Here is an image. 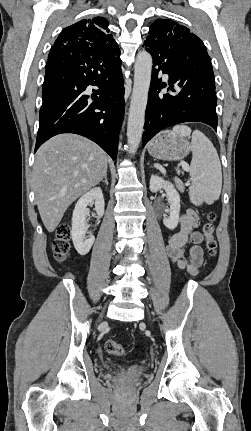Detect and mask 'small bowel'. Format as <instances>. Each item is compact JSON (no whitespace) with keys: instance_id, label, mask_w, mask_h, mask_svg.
Masks as SVG:
<instances>
[{"instance_id":"1","label":"small bowel","mask_w":251,"mask_h":431,"mask_svg":"<svg viewBox=\"0 0 251 431\" xmlns=\"http://www.w3.org/2000/svg\"><path fill=\"white\" fill-rule=\"evenodd\" d=\"M198 225L197 213L188 209L180 217L179 230L170 236L166 246L167 255L176 268L186 270L192 276L198 274L203 263V250L200 246L203 235L195 230ZM188 244L191 246L188 255H186Z\"/></svg>"}]
</instances>
